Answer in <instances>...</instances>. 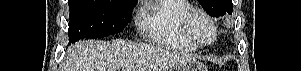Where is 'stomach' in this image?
<instances>
[{
    "label": "stomach",
    "instance_id": "0dacf381",
    "mask_svg": "<svg viewBox=\"0 0 301 71\" xmlns=\"http://www.w3.org/2000/svg\"><path fill=\"white\" fill-rule=\"evenodd\" d=\"M172 71H207L206 67L194 58H189Z\"/></svg>",
    "mask_w": 301,
    "mask_h": 71
}]
</instances>
